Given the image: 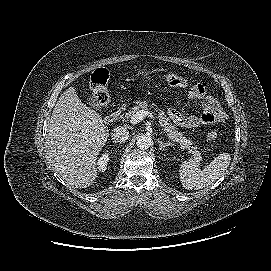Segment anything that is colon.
Returning <instances> with one entry per match:
<instances>
[{
  "label": "colon",
  "instance_id": "colon-1",
  "mask_svg": "<svg viewBox=\"0 0 271 271\" xmlns=\"http://www.w3.org/2000/svg\"><path fill=\"white\" fill-rule=\"evenodd\" d=\"M166 81L169 86L174 88H186L188 81L179 75L169 74L166 77ZM108 73L104 69L96 70L90 78V88L92 91V97L96 105L103 106L109 99V92L107 88ZM208 138L213 140L216 138L215 132H210Z\"/></svg>",
  "mask_w": 271,
  "mask_h": 271
}]
</instances>
